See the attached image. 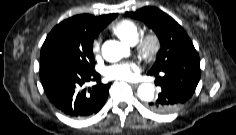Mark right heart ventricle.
Returning <instances> with one entry per match:
<instances>
[{
    "label": "right heart ventricle",
    "instance_id": "right-heart-ventricle-1",
    "mask_svg": "<svg viewBox=\"0 0 236 135\" xmlns=\"http://www.w3.org/2000/svg\"><path fill=\"white\" fill-rule=\"evenodd\" d=\"M110 30L115 36L130 45L137 42L141 33L138 23L131 19L117 21L111 26Z\"/></svg>",
    "mask_w": 236,
    "mask_h": 135
}]
</instances>
